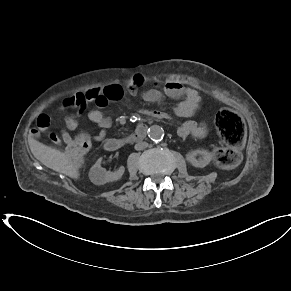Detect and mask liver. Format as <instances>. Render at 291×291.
Here are the masks:
<instances>
[{"mask_svg": "<svg viewBox=\"0 0 291 291\" xmlns=\"http://www.w3.org/2000/svg\"><path fill=\"white\" fill-rule=\"evenodd\" d=\"M29 146L34 157L46 167L73 179L80 177L78 167L69 153L44 145L33 138L29 139Z\"/></svg>", "mask_w": 291, "mask_h": 291, "instance_id": "1", "label": "liver"}]
</instances>
